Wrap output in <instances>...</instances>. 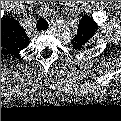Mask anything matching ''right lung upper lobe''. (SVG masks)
I'll return each instance as SVG.
<instances>
[{
  "instance_id": "obj_1",
  "label": "right lung upper lobe",
  "mask_w": 121,
  "mask_h": 121,
  "mask_svg": "<svg viewBox=\"0 0 121 121\" xmlns=\"http://www.w3.org/2000/svg\"><path fill=\"white\" fill-rule=\"evenodd\" d=\"M29 43L24 29L12 18L1 20V46L5 51L16 54Z\"/></svg>"
}]
</instances>
